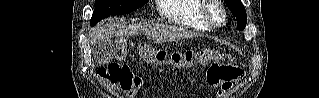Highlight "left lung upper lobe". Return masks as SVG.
<instances>
[{"label":"left lung upper lobe","mask_w":319,"mask_h":98,"mask_svg":"<svg viewBox=\"0 0 319 98\" xmlns=\"http://www.w3.org/2000/svg\"><path fill=\"white\" fill-rule=\"evenodd\" d=\"M227 7L236 16L237 27L239 30H243L246 26V10L241 0H225Z\"/></svg>","instance_id":"1"}]
</instances>
